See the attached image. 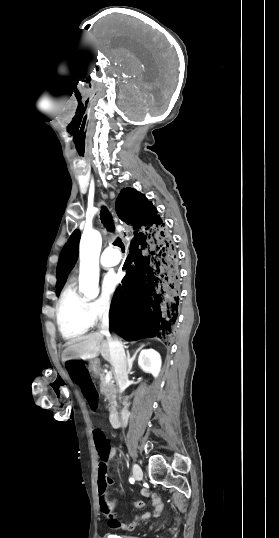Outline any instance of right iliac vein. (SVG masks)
<instances>
[{
	"instance_id": "right-iliac-vein-1",
	"label": "right iliac vein",
	"mask_w": 279,
	"mask_h": 538,
	"mask_svg": "<svg viewBox=\"0 0 279 538\" xmlns=\"http://www.w3.org/2000/svg\"><path fill=\"white\" fill-rule=\"evenodd\" d=\"M133 476L138 481L142 479L143 473L138 464L133 465Z\"/></svg>"
}]
</instances>
